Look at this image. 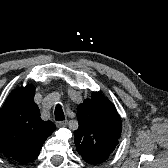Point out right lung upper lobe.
<instances>
[{
    "instance_id": "right-lung-upper-lobe-1",
    "label": "right lung upper lobe",
    "mask_w": 168,
    "mask_h": 168,
    "mask_svg": "<svg viewBox=\"0 0 168 168\" xmlns=\"http://www.w3.org/2000/svg\"><path fill=\"white\" fill-rule=\"evenodd\" d=\"M34 94L30 84L15 89L0 110V150L20 165L35 160L56 129L51 121L41 120Z\"/></svg>"
}]
</instances>
